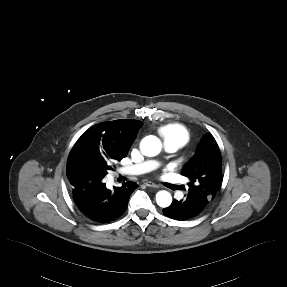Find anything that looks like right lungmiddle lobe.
I'll return each mask as SVG.
<instances>
[{
  "label": "right lung middle lobe",
  "mask_w": 287,
  "mask_h": 287,
  "mask_svg": "<svg viewBox=\"0 0 287 287\" xmlns=\"http://www.w3.org/2000/svg\"><path fill=\"white\" fill-rule=\"evenodd\" d=\"M121 159V156L110 150L87 145L78 139L67 160V177L72 178L82 171H94L106 175L112 170V164Z\"/></svg>",
  "instance_id": "1"
}]
</instances>
